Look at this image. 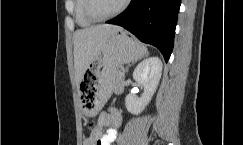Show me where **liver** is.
<instances>
[{"label": "liver", "mask_w": 243, "mask_h": 145, "mask_svg": "<svg viewBox=\"0 0 243 145\" xmlns=\"http://www.w3.org/2000/svg\"><path fill=\"white\" fill-rule=\"evenodd\" d=\"M122 31L123 28L120 26L103 24L79 29L74 33V69L77 87L90 64L99 57L110 36Z\"/></svg>", "instance_id": "liver-1"}]
</instances>
